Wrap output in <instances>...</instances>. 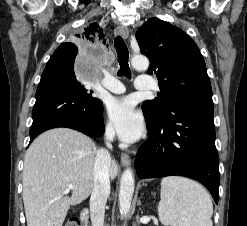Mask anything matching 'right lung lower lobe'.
I'll list each match as a JSON object with an SVG mask.
<instances>
[{
	"label": "right lung lower lobe",
	"instance_id": "1",
	"mask_svg": "<svg viewBox=\"0 0 247 226\" xmlns=\"http://www.w3.org/2000/svg\"><path fill=\"white\" fill-rule=\"evenodd\" d=\"M32 117L30 143L40 133L57 127L72 128L89 136L104 133L103 103L81 86L73 64L59 54L51 56L43 71Z\"/></svg>",
	"mask_w": 247,
	"mask_h": 226
}]
</instances>
